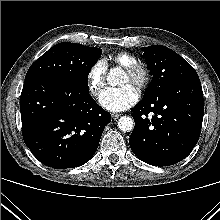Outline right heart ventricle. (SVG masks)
Here are the masks:
<instances>
[{"mask_svg":"<svg viewBox=\"0 0 220 220\" xmlns=\"http://www.w3.org/2000/svg\"><path fill=\"white\" fill-rule=\"evenodd\" d=\"M110 60L123 68H127L131 65L138 63L137 58L127 52H118L110 56Z\"/></svg>","mask_w":220,"mask_h":220,"instance_id":"right-heart-ventricle-1","label":"right heart ventricle"}]
</instances>
